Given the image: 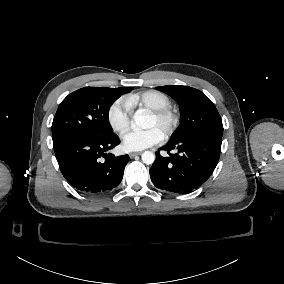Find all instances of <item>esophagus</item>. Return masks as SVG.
<instances>
[{
    "label": "esophagus",
    "instance_id": "esophagus-1",
    "mask_svg": "<svg viewBox=\"0 0 284 284\" xmlns=\"http://www.w3.org/2000/svg\"><path fill=\"white\" fill-rule=\"evenodd\" d=\"M142 152H130L129 153V156H130V158H134V156H136V155H140Z\"/></svg>",
    "mask_w": 284,
    "mask_h": 284
}]
</instances>
